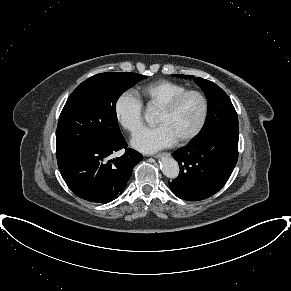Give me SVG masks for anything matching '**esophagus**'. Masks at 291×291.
Here are the masks:
<instances>
[{
  "mask_svg": "<svg viewBox=\"0 0 291 291\" xmlns=\"http://www.w3.org/2000/svg\"><path fill=\"white\" fill-rule=\"evenodd\" d=\"M170 155L171 154L169 152H162V153L157 154L155 157L156 158H161V157L170 156Z\"/></svg>",
  "mask_w": 291,
  "mask_h": 291,
  "instance_id": "obj_1",
  "label": "esophagus"
}]
</instances>
